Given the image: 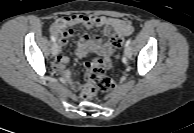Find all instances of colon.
Instances as JSON below:
<instances>
[{
    "mask_svg": "<svg viewBox=\"0 0 194 133\" xmlns=\"http://www.w3.org/2000/svg\"><path fill=\"white\" fill-rule=\"evenodd\" d=\"M56 26L63 30L67 26L65 18L56 21ZM125 39V35L121 33H115L111 37V44L115 49H119ZM115 57L118 58L119 54L115 53ZM103 60L95 58L87 63V83L83 86L81 91V97L85 100H90L94 97L96 89L101 91H109L113 89L116 85V79L107 76L102 68Z\"/></svg>",
    "mask_w": 194,
    "mask_h": 133,
    "instance_id": "obj_1",
    "label": "colon"
}]
</instances>
